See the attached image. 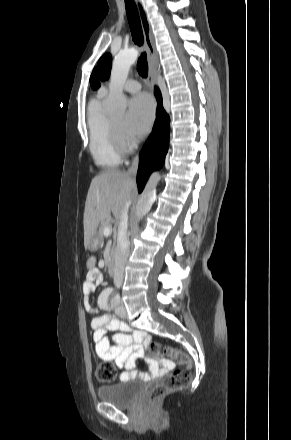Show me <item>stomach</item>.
Masks as SVG:
<instances>
[{
    "instance_id": "obj_1",
    "label": "stomach",
    "mask_w": 291,
    "mask_h": 440,
    "mask_svg": "<svg viewBox=\"0 0 291 440\" xmlns=\"http://www.w3.org/2000/svg\"><path fill=\"white\" fill-rule=\"evenodd\" d=\"M100 237L98 236V235H96L93 239H92V241H91V243H90V245H89V248H91V249H96L98 246H99V244H100Z\"/></svg>"
}]
</instances>
